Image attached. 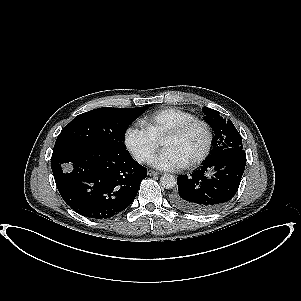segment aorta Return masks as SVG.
<instances>
[{
    "label": "aorta",
    "instance_id": "aorta-1",
    "mask_svg": "<svg viewBox=\"0 0 301 301\" xmlns=\"http://www.w3.org/2000/svg\"><path fill=\"white\" fill-rule=\"evenodd\" d=\"M176 178L171 174H164L160 178V185L165 189H172L176 186Z\"/></svg>",
    "mask_w": 301,
    "mask_h": 301
}]
</instances>
